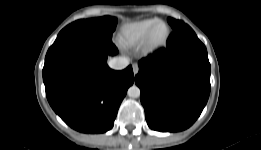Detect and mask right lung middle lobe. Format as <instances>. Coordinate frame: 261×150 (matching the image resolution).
I'll use <instances>...</instances> for the list:
<instances>
[{
    "mask_svg": "<svg viewBox=\"0 0 261 150\" xmlns=\"http://www.w3.org/2000/svg\"><path fill=\"white\" fill-rule=\"evenodd\" d=\"M116 24L117 19L111 16L77 20L66 26L58 34L56 41L67 37L111 39Z\"/></svg>",
    "mask_w": 261,
    "mask_h": 150,
    "instance_id": "1",
    "label": "right lung middle lobe"
}]
</instances>
